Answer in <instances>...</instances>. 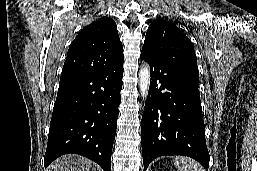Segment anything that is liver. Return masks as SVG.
<instances>
[{"label": "liver", "instance_id": "obj_1", "mask_svg": "<svg viewBox=\"0 0 257 171\" xmlns=\"http://www.w3.org/2000/svg\"><path fill=\"white\" fill-rule=\"evenodd\" d=\"M46 171H95L90 160L78 155H65L55 160Z\"/></svg>", "mask_w": 257, "mask_h": 171}]
</instances>
